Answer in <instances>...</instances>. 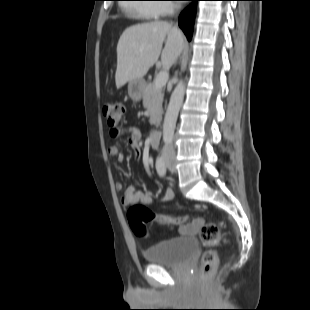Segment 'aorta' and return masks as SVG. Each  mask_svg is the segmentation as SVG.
I'll return each instance as SVG.
<instances>
[{"label": "aorta", "instance_id": "762f6f07", "mask_svg": "<svg viewBox=\"0 0 310 310\" xmlns=\"http://www.w3.org/2000/svg\"><path fill=\"white\" fill-rule=\"evenodd\" d=\"M185 94V84L180 80L171 94L170 102L166 110L163 123V142L165 146H170L173 141L176 122L179 110L183 103Z\"/></svg>", "mask_w": 310, "mask_h": 310}]
</instances>
